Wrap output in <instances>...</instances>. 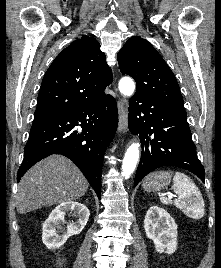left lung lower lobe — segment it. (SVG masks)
<instances>
[{"mask_svg": "<svg viewBox=\"0 0 221 268\" xmlns=\"http://www.w3.org/2000/svg\"><path fill=\"white\" fill-rule=\"evenodd\" d=\"M128 125L131 133L139 134L142 145L134 186L161 166L189 170L204 182V168L195 153L183 104L134 95L130 99Z\"/></svg>", "mask_w": 221, "mask_h": 268, "instance_id": "0a47b994", "label": "left lung lower lobe"}]
</instances>
